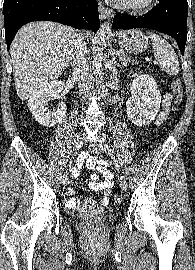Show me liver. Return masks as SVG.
<instances>
[{"label":"liver","instance_id":"liver-1","mask_svg":"<svg viewBox=\"0 0 195 270\" xmlns=\"http://www.w3.org/2000/svg\"><path fill=\"white\" fill-rule=\"evenodd\" d=\"M77 31L51 21L30 23L16 34L10 48L18 97L26 100L68 67Z\"/></svg>","mask_w":195,"mask_h":270}]
</instances>
